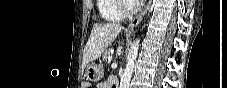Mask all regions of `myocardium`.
<instances>
[{
	"instance_id": "obj_1",
	"label": "myocardium",
	"mask_w": 227,
	"mask_h": 88,
	"mask_svg": "<svg viewBox=\"0 0 227 88\" xmlns=\"http://www.w3.org/2000/svg\"><path fill=\"white\" fill-rule=\"evenodd\" d=\"M118 9L124 16L135 14L138 11L137 7L133 5L130 0H120L118 3Z\"/></svg>"
}]
</instances>
